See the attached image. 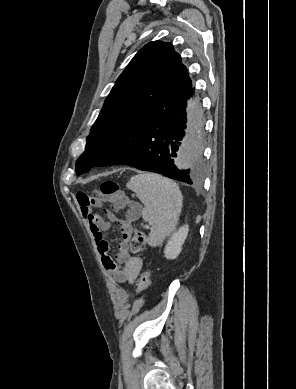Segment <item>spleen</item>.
Returning <instances> with one entry per match:
<instances>
[{"label":"spleen","instance_id":"3e777b00","mask_svg":"<svg viewBox=\"0 0 296 389\" xmlns=\"http://www.w3.org/2000/svg\"><path fill=\"white\" fill-rule=\"evenodd\" d=\"M126 187L143 203L141 215L151 225L147 243L156 247L174 231L182 209L183 196L178 185L155 173L131 177Z\"/></svg>","mask_w":296,"mask_h":389}]
</instances>
